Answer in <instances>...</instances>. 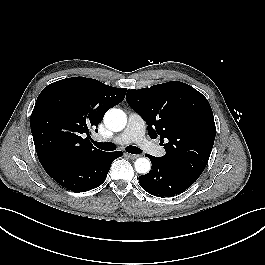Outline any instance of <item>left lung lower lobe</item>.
<instances>
[{"mask_svg":"<svg viewBox=\"0 0 265 265\" xmlns=\"http://www.w3.org/2000/svg\"><path fill=\"white\" fill-rule=\"evenodd\" d=\"M152 170L139 177V183L148 193L157 197H172L189 188L198 178L163 163L160 158L147 155Z\"/></svg>","mask_w":265,"mask_h":265,"instance_id":"1","label":"left lung lower lobe"}]
</instances>
